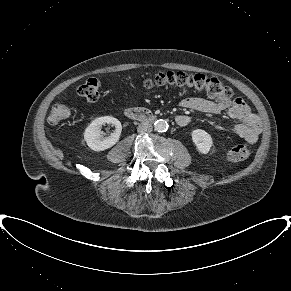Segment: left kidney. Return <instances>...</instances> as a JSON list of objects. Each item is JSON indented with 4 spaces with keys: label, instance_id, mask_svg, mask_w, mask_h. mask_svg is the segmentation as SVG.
<instances>
[{
    "label": "left kidney",
    "instance_id": "1",
    "mask_svg": "<svg viewBox=\"0 0 291 291\" xmlns=\"http://www.w3.org/2000/svg\"><path fill=\"white\" fill-rule=\"evenodd\" d=\"M192 140L196 146V149L202 153L207 154L213 145L212 137L206 131L202 129H196L192 131Z\"/></svg>",
    "mask_w": 291,
    "mask_h": 291
}]
</instances>
